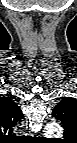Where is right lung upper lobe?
Instances as JSON below:
<instances>
[{"mask_svg": "<svg viewBox=\"0 0 77 143\" xmlns=\"http://www.w3.org/2000/svg\"><path fill=\"white\" fill-rule=\"evenodd\" d=\"M23 118L17 104L7 98H0V128L6 134H11L13 127Z\"/></svg>", "mask_w": 77, "mask_h": 143, "instance_id": "right-lung-upper-lobe-1", "label": "right lung upper lobe"}]
</instances>
